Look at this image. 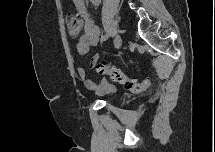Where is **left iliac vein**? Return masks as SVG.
<instances>
[{"label":"left iliac vein","mask_w":215,"mask_h":152,"mask_svg":"<svg viewBox=\"0 0 215 152\" xmlns=\"http://www.w3.org/2000/svg\"><path fill=\"white\" fill-rule=\"evenodd\" d=\"M114 46L116 49H119L122 46V38L119 34L114 38Z\"/></svg>","instance_id":"4c4485c4"}]
</instances>
